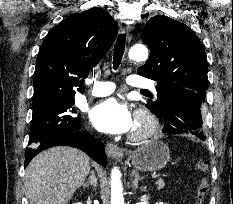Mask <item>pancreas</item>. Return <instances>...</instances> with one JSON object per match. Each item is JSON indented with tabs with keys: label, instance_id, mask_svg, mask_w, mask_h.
<instances>
[{
	"label": "pancreas",
	"instance_id": "obj_1",
	"mask_svg": "<svg viewBox=\"0 0 233 204\" xmlns=\"http://www.w3.org/2000/svg\"><path fill=\"white\" fill-rule=\"evenodd\" d=\"M156 185H157V189L160 190L165 186V183L162 179H160L156 182Z\"/></svg>",
	"mask_w": 233,
	"mask_h": 204
}]
</instances>
